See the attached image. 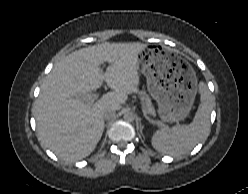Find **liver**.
Instances as JSON below:
<instances>
[{
  "instance_id": "1",
  "label": "liver",
  "mask_w": 248,
  "mask_h": 194,
  "mask_svg": "<svg viewBox=\"0 0 248 194\" xmlns=\"http://www.w3.org/2000/svg\"><path fill=\"white\" fill-rule=\"evenodd\" d=\"M147 45L109 43L76 50L55 64L36 101L37 135L59 158L81 160L97 146L104 129V113L119 110L128 95L138 91L137 56ZM110 66L103 74L100 65ZM113 89L92 105L82 96L101 87Z\"/></svg>"
}]
</instances>
